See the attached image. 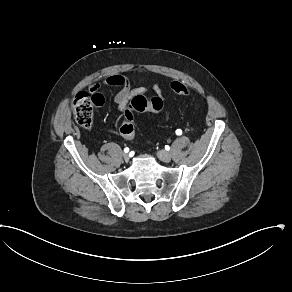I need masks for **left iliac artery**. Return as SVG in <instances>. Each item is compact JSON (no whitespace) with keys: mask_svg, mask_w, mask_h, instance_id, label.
<instances>
[{"mask_svg":"<svg viewBox=\"0 0 292 292\" xmlns=\"http://www.w3.org/2000/svg\"><path fill=\"white\" fill-rule=\"evenodd\" d=\"M176 134H177V135H181V134H182V130L177 129V130H176Z\"/></svg>","mask_w":292,"mask_h":292,"instance_id":"44dca946","label":"left iliac artery"}]
</instances>
